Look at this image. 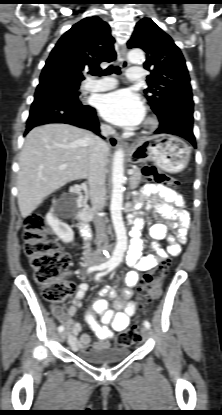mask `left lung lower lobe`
Masks as SVG:
<instances>
[{"mask_svg":"<svg viewBox=\"0 0 222 415\" xmlns=\"http://www.w3.org/2000/svg\"><path fill=\"white\" fill-rule=\"evenodd\" d=\"M180 102L183 107V114L174 117L166 115L159 119L160 126L155 131L156 134H173L185 138L196 146L193 134V100L192 94L184 93L180 95Z\"/></svg>","mask_w":222,"mask_h":415,"instance_id":"left-lung-lower-lobe-1","label":"left lung lower lobe"}]
</instances>
